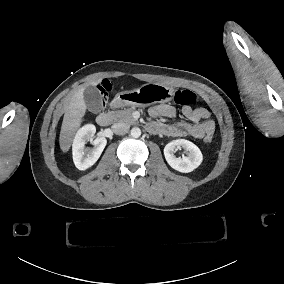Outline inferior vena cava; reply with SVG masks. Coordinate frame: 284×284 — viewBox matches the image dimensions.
I'll return each mask as SVG.
<instances>
[{"label":"inferior vena cava","instance_id":"1","mask_svg":"<svg viewBox=\"0 0 284 284\" xmlns=\"http://www.w3.org/2000/svg\"><path fill=\"white\" fill-rule=\"evenodd\" d=\"M111 129L115 134L124 135L129 131L130 126L124 122H117L112 125Z\"/></svg>","mask_w":284,"mask_h":284}]
</instances>
